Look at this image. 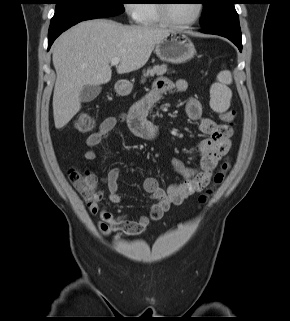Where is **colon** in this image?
Returning a JSON list of instances; mask_svg holds the SVG:
<instances>
[{
	"instance_id": "colon-1",
	"label": "colon",
	"mask_w": 290,
	"mask_h": 321,
	"mask_svg": "<svg viewBox=\"0 0 290 321\" xmlns=\"http://www.w3.org/2000/svg\"><path fill=\"white\" fill-rule=\"evenodd\" d=\"M220 118L225 122L232 123L235 118V112L232 110L222 112L220 113ZM94 126L95 119L90 114L80 115L75 125L76 129L81 133L91 131ZM229 168V162H225L222 165L220 171L214 177V186L223 181ZM68 178L74 188L88 204L99 200L102 197V191L97 187L94 176L89 172L72 169L68 172ZM214 186L209 188L207 192L200 197L201 203L206 202L212 193Z\"/></svg>"
}]
</instances>
